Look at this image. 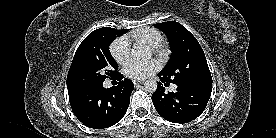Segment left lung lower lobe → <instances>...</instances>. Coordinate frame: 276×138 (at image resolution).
Masks as SVG:
<instances>
[{"instance_id": "1", "label": "left lung lower lobe", "mask_w": 276, "mask_h": 138, "mask_svg": "<svg viewBox=\"0 0 276 138\" xmlns=\"http://www.w3.org/2000/svg\"><path fill=\"white\" fill-rule=\"evenodd\" d=\"M161 82L167 81L158 74ZM209 85H177L176 92L165 93L158 82L157 90L152 94V102L157 112L167 121L187 123L197 118L204 110L211 96Z\"/></svg>"}]
</instances>
